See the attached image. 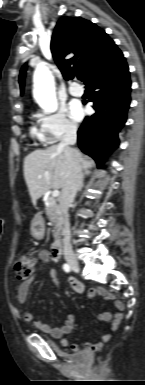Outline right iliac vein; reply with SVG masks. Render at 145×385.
Returning <instances> with one entry per match:
<instances>
[{
  "label": "right iliac vein",
  "mask_w": 145,
  "mask_h": 385,
  "mask_svg": "<svg viewBox=\"0 0 145 385\" xmlns=\"http://www.w3.org/2000/svg\"><path fill=\"white\" fill-rule=\"evenodd\" d=\"M67 262L70 266V268L74 271V272H79L80 271V266H79V263L78 261L73 258V257H68L67 258Z\"/></svg>",
  "instance_id": "63e3f726"
}]
</instances>
